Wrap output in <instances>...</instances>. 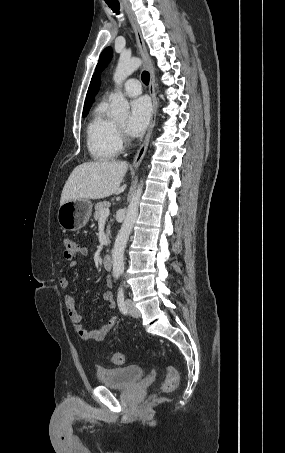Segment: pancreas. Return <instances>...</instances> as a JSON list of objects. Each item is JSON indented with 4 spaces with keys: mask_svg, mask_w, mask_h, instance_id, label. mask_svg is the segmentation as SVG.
<instances>
[{
    "mask_svg": "<svg viewBox=\"0 0 285 453\" xmlns=\"http://www.w3.org/2000/svg\"><path fill=\"white\" fill-rule=\"evenodd\" d=\"M109 206H110V203L107 202V201H103V202H98L96 205H95V213H94V219L97 221L100 219L101 217V213L103 210L105 209H109ZM109 228L110 226H108V229H107V234L109 235Z\"/></svg>",
    "mask_w": 285,
    "mask_h": 453,
    "instance_id": "obj_1",
    "label": "pancreas"
}]
</instances>
